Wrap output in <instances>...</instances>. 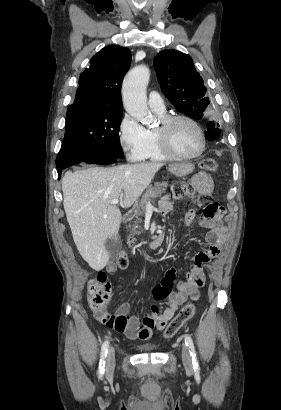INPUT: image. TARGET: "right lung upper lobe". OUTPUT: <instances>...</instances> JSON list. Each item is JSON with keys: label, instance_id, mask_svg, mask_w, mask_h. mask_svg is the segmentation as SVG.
I'll return each instance as SVG.
<instances>
[{"label": "right lung upper lobe", "instance_id": "cb5924a9", "mask_svg": "<svg viewBox=\"0 0 281 410\" xmlns=\"http://www.w3.org/2000/svg\"><path fill=\"white\" fill-rule=\"evenodd\" d=\"M131 63V53L126 47L106 46L90 61L79 80L74 103L98 108L122 110L121 86Z\"/></svg>", "mask_w": 281, "mask_h": 410}]
</instances>
